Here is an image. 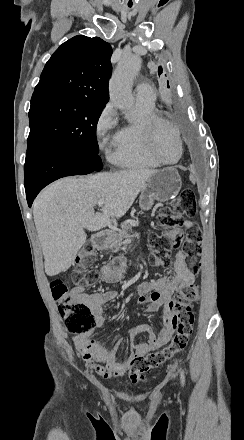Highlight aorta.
<instances>
[{
    "instance_id": "1",
    "label": "aorta",
    "mask_w": 244,
    "mask_h": 440,
    "mask_svg": "<svg viewBox=\"0 0 244 440\" xmlns=\"http://www.w3.org/2000/svg\"><path fill=\"white\" fill-rule=\"evenodd\" d=\"M141 67V59L136 55L124 57L117 65L109 82L111 101L128 118L133 109L132 83Z\"/></svg>"
}]
</instances>
